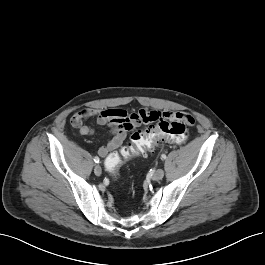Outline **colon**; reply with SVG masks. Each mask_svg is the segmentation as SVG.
I'll return each instance as SVG.
<instances>
[{
	"label": "colon",
	"mask_w": 265,
	"mask_h": 265,
	"mask_svg": "<svg viewBox=\"0 0 265 265\" xmlns=\"http://www.w3.org/2000/svg\"><path fill=\"white\" fill-rule=\"evenodd\" d=\"M149 123L151 125L147 129L136 131L131 135L130 142L121 149L120 153L109 155L105 161L108 172L115 173L123 162L131 157L147 151H156L163 142L184 143L189 136L188 126L194 123V119L189 117L187 120H182L153 112Z\"/></svg>",
	"instance_id": "5ec220e1"
}]
</instances>
